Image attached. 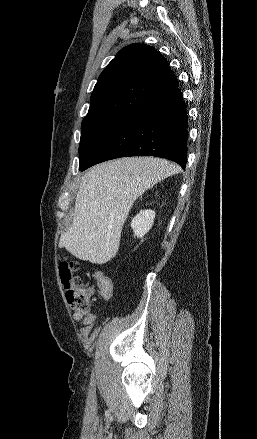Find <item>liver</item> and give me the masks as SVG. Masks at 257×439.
Listing matches in <instances>:
<instances>
[{
  "instance_id": "6515ba94",
  "label": "liver",
  "mask_w": 257,
  "mask_h": 439,
  "mask_svg": "<svg viewBox=\"0 0 257 439\" xmlns=\"http://www.w3.org/2000/svg\"><path fill=\"white\" fill-rule=\"evenodd\" d=\"M180 172L154 157H125L92 167L81 179L74 218L59 246L80 260L104 264L114 258L133 203L159 181Z\"/></svg>"
}]
</instances>
